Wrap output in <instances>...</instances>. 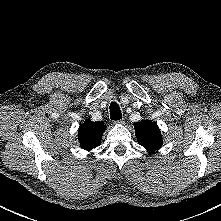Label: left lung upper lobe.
Masks as SVG:
<instances>
[{"instance_id":"left-lung-upper-lobe-1","label":"left lung upper lobe","mask_w":221,"mask_h":221,"mask_svg":"<svg viewBox=\"0 0 221 221\" xmlns=\"http://www.w3.org/2000/svg\"><path fill=\"white\" fill-rule=\"evenodd\" d=\"M134 127L138 143L146 150L152 152L162 146L163 140L157 123L142 120L135 123Z\"/></svg>"}]
</instances>
